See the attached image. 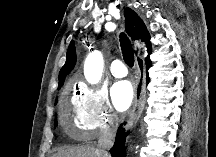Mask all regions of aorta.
I'll use <instances>...</instances> for the list:
<instances>
[{
  "mask_svg": "<svg viewBox=\"0 0 216 157\" xmlns=\"http://www.w3.org/2000/svg\"><path fill=\"white\" fill-rule=\"evenodd\" d=\"M103 65V55L100 51L95 50L88 55L84 65V75L89 83L96 84L100 81Z\"/></svg>",
  "mask_w": 216,
  "mask_h": 157,
  "instance_id": "1",
  "label": "aorta"
}]
</instances>
